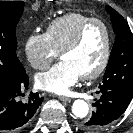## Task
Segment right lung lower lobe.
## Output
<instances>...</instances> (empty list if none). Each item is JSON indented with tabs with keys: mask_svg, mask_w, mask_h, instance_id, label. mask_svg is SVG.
I'll return each mask as SVG.
<instances>
[{
	"mask_svg": "<svg viewBox=\"0 0 133 133\" xmlns=\"http://www.w3.org/2000/svg\"><path fill=\"white\" fill-rule=\"evenodd\" d=\"M29 78L24 67L16 78L0 83V130H20L25 127L43 101L38 93L31 92L21 100L28 89Z\"/></svg>",
	"mask_w": 133,
	"mask_h": 133,
	"instance_id": "98d812e1",
	"label": "right lung lower lobe"
}]
</instances>
